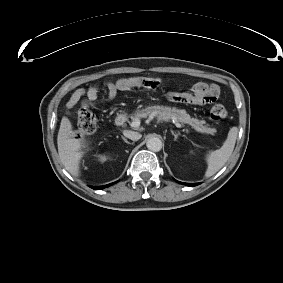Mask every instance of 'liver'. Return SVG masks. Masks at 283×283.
Segmentation results:
<instances>
[{
  "label": "liver",
  "instance_id": "6515ba94",
  "mask_svg": "<svg viewBox=\"0 0 283 283\" xmlns=\"http://www.w3.org/2000/svg\"><path fill=\"white\" fill-rule=\"evenodd\" d=\"M72 133L70 120L67 117H63L57 137L58 153L65 169L70 174L77 176L83 152L80 151V142L72 138Z\"/></svg>",
  "mask_w": 283,
  "mask_h": 283
}]
</instances>
